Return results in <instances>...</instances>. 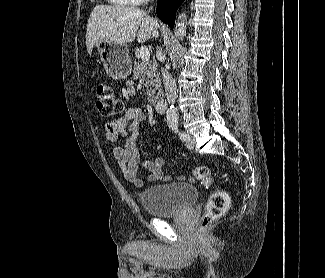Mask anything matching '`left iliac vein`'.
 Masks as SVG:
<instances>
[{
	"label": "left iliac vein",
	"mask_w": 325,
	"mask_h": 278,
	"mask_svg": "<svg viewBox=\"0 0 325 278\" xmlns=\"http://www.w3.org/2000/svg\"><path fill=\"white\" fill-rule=\"evenodd\" d=\"M186 147L188 149H194V147H195V140H194V138L192 136H189V139L186 142Z\"/></svg>",
	"instance_id": "left-iliac-vein-1"
}]
</instances>
